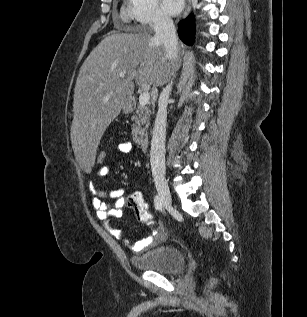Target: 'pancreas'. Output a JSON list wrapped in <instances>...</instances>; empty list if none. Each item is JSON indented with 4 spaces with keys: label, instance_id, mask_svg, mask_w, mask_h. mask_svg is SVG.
Here are the masks:
<instances>
[{
    "label": "pancreas",
    "instance_id": "obj_1",
    "mask_svg": "<svg viewBox=\"0 0 307 317\" xmlns=\"http://www.w3.org/2000/svg\"><path fill=\"white\" fill-rule=\"evenodd\" d=\"M150 109L147 106H137L134 115L131 117L133 121L132 136L133 141L142 144L150 123Z\"/></svg>",
    "mask_w": 307,
    "mask_h": 317
}]
</instances>
